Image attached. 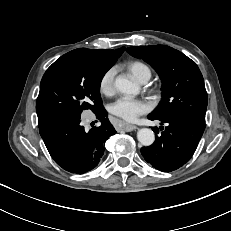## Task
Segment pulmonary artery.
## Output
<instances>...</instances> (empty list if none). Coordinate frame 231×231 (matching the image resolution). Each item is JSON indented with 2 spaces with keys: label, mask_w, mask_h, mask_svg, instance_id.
Segmentation results:
<instances>
[{
  "label": "pulmonary artery",
  "mask_w": 231,
  "mask_h": 231,
  "mask_svg": "<svg viewBox=\"0 0 231 231\" xmlns=\"http://www.w3.org/2000/svg\"><path fill=\"white\" fill-rule=\"evenodd\" d=\"M150 76L149 75H144L139 82L140 83H146L149 80Z\"/></svg>",
  "instance_id": "e3ab8cb5"
}]
</instances>
